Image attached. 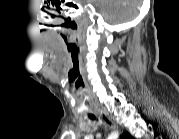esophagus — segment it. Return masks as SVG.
Returning <instances> with one entry per match:
<instances>
[{"mask_svg": "<svg viewBox=\"0 0 179 139\" xmlns=\"http://www.w3.org/2000/svg\"><path fill=\"white\" fill-rule=\"evenodd\" d=\"M98 113L100 117L102 118V120L104 121V123L109 126V128L111 129L116 128L114 122L111 120V118L108 116L106 112H104L103 110H98Z\"/></svg>", "mask_w": 179, "mask_h": 139, "instance_id": "1", "label": "esophagus"}]
</instances>
